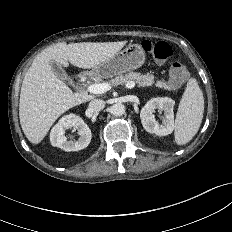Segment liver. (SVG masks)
Instances as JSON below:
<instances>
[{
  "label": "liver",
  "instance_id": "liver-1",
  "mask_svg": "<svg viewBox=\"0 0 232 232\" xmlns=\"http://www.w3.org/2000/svg\"><path fill=\"white\" fill-rule=\"evenodd\" d=\"M126 43L59 42L37 55L23 79L19 103L20 124L31 143H40L64 112L93 98L86 93H73L54 74L50 62L90 69L113 57Z\"/></svg>",
  "mask_w": 232,
  "mask_h": 232
}]
</instances>
